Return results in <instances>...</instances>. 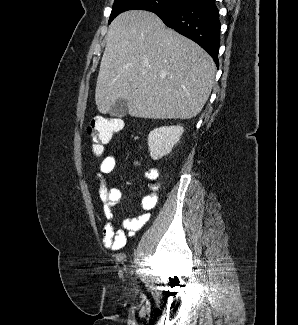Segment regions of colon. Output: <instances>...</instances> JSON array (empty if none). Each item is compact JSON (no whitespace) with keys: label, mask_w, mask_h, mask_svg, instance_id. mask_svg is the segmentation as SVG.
Segmentation results:
<instances>
[{"label":"colon","mask_w":298,"mask_h":325,"mask_svg":"<svg viewBox=\"0 0 298 325\" xmlns=\"http://www.w3.org/2000/svg\"><path fill=\"white\" fill-rule=\"evenodd\" d=\"M122 128V120L104 116H96L87 127V133L92 141L95 154L102 152L103 145L108 143L114 133Z\"/></svg>","instance_id":"5ec220e1"}]
</instances>
